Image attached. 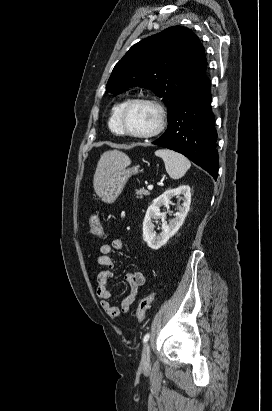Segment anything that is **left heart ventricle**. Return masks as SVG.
<instances>
[{"label": "left heart ventricle", "instance_id": "1", "mask_svg": "<svg viewBox=\"0 0 272 411\" xmlns=\"http://www.w3.org/2000/svg\"><path fill=\"white\" fill-rule=\"evenodd\" d=\"M157 122L156 111L146 104H134L126 112L124 124L133 133L151 131Z\"/></svg>", "mask_w": 272, "mask_h": 411}]
</instances>
